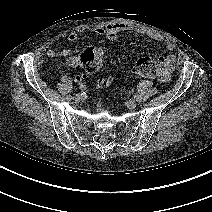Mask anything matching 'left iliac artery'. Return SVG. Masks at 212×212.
<instances>
[{"mask_svg": "<svg viewBox=\"0 0 212 212\" xmlns=\"http://www.w3.org/2000/svg\"><path fill=\"white\" fill-rule=\"evenodd\" d=\"M134 99H135L137 102H141V101H142V98H141L139 95H135V96H134Z\"/></svg>", "mask_w": 212, "mask_h": 212, "instance_id": "1", "label": "left iliac artery"}]
</instances>
